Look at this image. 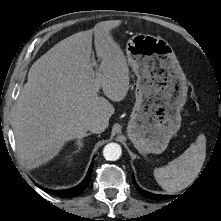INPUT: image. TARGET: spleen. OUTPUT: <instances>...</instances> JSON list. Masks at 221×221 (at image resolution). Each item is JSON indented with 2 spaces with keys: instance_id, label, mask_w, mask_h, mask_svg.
I'll list each match as a JSON object with an SVG mask.
<instances>
[{
  "instance_id": "3e777b00",
  "label": "spleen",
  "mask_w": 221,
  "mask_h": 221,
  "mask_svg": "<svg viewBox=\"0 0 221 221\" xmlns=\"http://www.w3.org/2000/svg\"><path fill=\"white\" fill-rule=\"evenodd\" d=\"M206 157V138L200 134L182 155L165 167L154 169L157 183L167 192L175 193L187 188L199 175Z\"/></svg>"
}]
</instances>
